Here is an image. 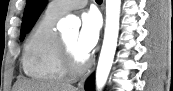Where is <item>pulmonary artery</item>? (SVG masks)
<instances>
[{"label": "pulmonary artery", "mask_w": 173, "mask_h": 91, "mask_svg": "<svg viewBox=\"0 0 173 91\" xmlns=\"http://www.w3.org/2000/svg\"><path fill=\"white\" fill-rule=\"evenodd\" d=\"M87 0H57L52 1L49 11L57 15H64L72 10L83 8L87 4Z\"/></svg>", "instance_id": "obj_1"}]
</instances>
